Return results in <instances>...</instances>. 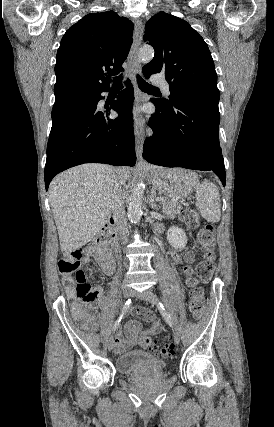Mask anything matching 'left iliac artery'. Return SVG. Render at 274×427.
Returning a JSON list of instances; mask_svg holds the SVG:
<instances>
[{"instance_id": "1", "label": "left iliac artery", "mask_w": 274, "mask_h": 427, "mask_svg": "<svg viewBox=\"0 0 274 427\" xmlns=\"http://www.w3.org/2000/svg\"><path fill=\"white\" fill-rule=\"evenodd\" d=\"M158 309L160 311V313L162 314L165 322L170 326L173 327V322L171 319V316L169 315V313L166 311L164 305L161 302L157 303Z\"/></svg>"}]
</instances>
